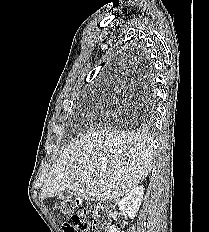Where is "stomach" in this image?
<instances>
[{"label":"stomach","mask_w":209,"mask_h":232,"mask_svg":"<svg viewBox=\"0 0 209 232\" xmlns=\"http://www.w3.org/2000/svg\"><path fill=\"white\" fill-rule=\"evenodd\" d=\"M59 210L61 214H76V209L72 205V202L69 198H66L65 201L59 202Z\"/></svg>","instance_id":"stomach-1"}]
</instances>
